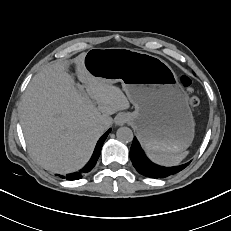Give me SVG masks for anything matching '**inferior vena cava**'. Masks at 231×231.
I'll list each match as a JSON object with an SVG mask.
<instances>
[{
  "label": "inferior vena cava",
  "mask_w": 231,
  "mask_h": 231,
  "mask_svg": "<svg viewBox=\"0 0 231 231\" xmlns=\"http://www.w3.org/2000/svg\"><path fill=\"white\" fill-rule=\"evenodd\" d=\"M102 128H103V129H106V125H103Z\"/></svg>",
  "instance_id": "1"
}]
</instances>
